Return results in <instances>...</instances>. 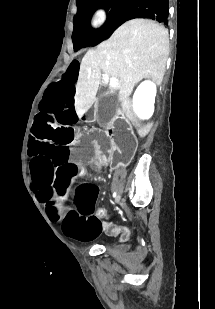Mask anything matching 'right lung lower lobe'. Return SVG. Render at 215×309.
<instances>
[{"label":"right lung lower lobe","mask_w":215,"mask_h":309,"mask_svg":"<svg viewBox=\"0 0 215 309\" xmlns=\"http://www.w3.org/2000/svg\"><path fill=\"white\" fill-rule=\"evenodd\" d=\"M168 14V0H132L121 14L117 22V28L124 22L134 18H148L167 24Z\"/></svg>","instance_id":"1"}]
</instances>
